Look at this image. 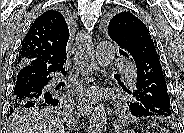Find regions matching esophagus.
I'll return each mask as SVG.
<instances>
[{
	"mask_svg": "<svg viewBox=\"0 0 184 133\" xmlns=\"http://www.w3.org/2000/svg\"><path fill=\"white\" fill-rule=\"evenodd\" d=\"M78 59L82 68H85L87 71V82H93L94 77L93 73L97 69V63L94 56V45L92 41V37L83 32L79 34L78 40ZM82 97L79 100V109L83 115L88 116L93 109L94 101L91 97Z\"/></svg>",
	"mask_w": 184,
	"mask_h": 133,
	"instance_id": "1",
	"label": "esophagus"
}]
</instances>
